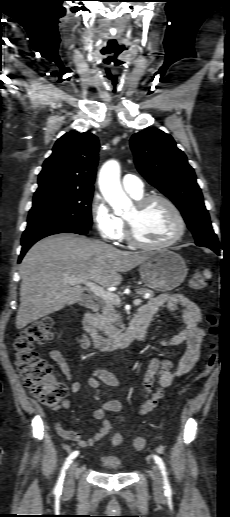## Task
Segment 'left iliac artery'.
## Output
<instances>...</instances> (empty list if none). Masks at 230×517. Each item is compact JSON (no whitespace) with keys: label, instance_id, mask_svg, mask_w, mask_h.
<instances>
[{"label":"left iliac artery","instance_id":"44dca946","mask_svg":"<svg viewBox=\"0 0 230 517\" xmlns=\"http://www.w3.org/2000/svg\"><path fill=\"white\" fill-rule=\"evenodd\" d=\"M153 458H154L155 462L157 463V465H158V467H159V469H160V471L162 473L165 493L167 495H170L172 493V490H171V486H170V483H169V480H168L165 464H164L162 458H160L159 456L154 455Z\"/></svg>","mask_w":230,"mask_h":517}]
</instances>
